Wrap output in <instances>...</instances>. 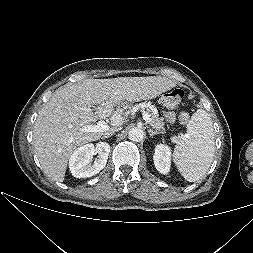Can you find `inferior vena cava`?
<instances>
[{
  "label": "inferior vena cava",
  "mask_w": 253,
  "mask_h": 253,
  "mask_svg": "<svg viewBox=\"0 0 253 253\" xmlns=\"http://www.w3.org/2000/svg\"><path fill=\"white\" fill-rule=\"evenodd\" d=\"M118 130H120V129H119V128H118V129H112V130L106 132V133H105V136H111V135H113L114 132H116V131H118Z\"/></svg>",
  "instance_id": "inferior-vena-cava-1"
}]
</instances>
